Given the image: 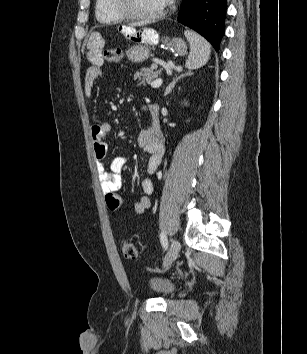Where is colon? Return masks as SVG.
<instances>
[{
    "label": "colon",
    "instance_id": "colon-1",
    "mask_svg": "<svg viewBox=\"0 0 307 354\" xmlns=\"http://www.w3.org/2000/svg\"><path fill=\"white\" fill-rule=\"evenodd\" d=\"M103 57L108 62L117 63L122 59V51L118 48H110L104 51ZM121 248L125 258L135 259L137 257L136 247L130 239H122Z\"/></svg>",
    "mask_w": 307,
    "mask_h": 354
}]
</instances>
